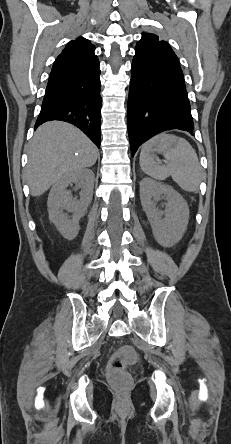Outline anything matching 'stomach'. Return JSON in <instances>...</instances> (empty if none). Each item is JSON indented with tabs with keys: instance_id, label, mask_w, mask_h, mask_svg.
<instances>
[{
	"instance_id": "obj_1",
	"label": "stomach",
	"mask_w": 231,
	"mask_h": 444,
	"mask_svg": "<svg viewBox=\"0 0 231 444\" xmlns=\"http://www.w3.org/2000/svg\"><path fill=\"white\" fill-rule=\"evenodd\" d=\"M168 147H171V146H173V145H175V142H168ZM153 151H156V150H153Z\"/></svg>"
}]
</instances>
